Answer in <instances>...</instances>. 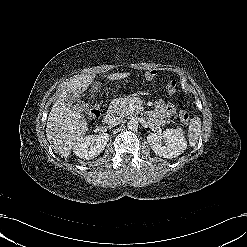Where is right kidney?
<instances>
[{
	"label": "right kidney",
	"mask_w": 247,
	"mask_h": 247,
	"mask_svg": "<svg viewBox=\"0 0 247 247\" xmlns=\"http://www.w3.org/2000/svg\"><path fill=\"white\" fill-rule=\"evenodd\" d=\"M109 134L88 135L73 145V152L81 159L90 160L98 156L105 148Z\"/></svg>",
	"instance_id": "right-kidney-1"
}]
</instances>
